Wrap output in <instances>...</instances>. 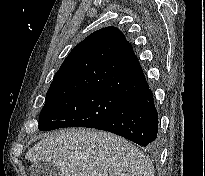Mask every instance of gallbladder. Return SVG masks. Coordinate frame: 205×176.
Wrapping results in <instances>:
<instances>
[{"instance_id":"1","label":"gallbladder","mask_w":205,"mask_h":176,"mask_svg":"<svg viewBox=\"0 0 205 176\" xmlns=\"http://www.w3.org/2000/svg\"><path fill=\"white\" fill-rule=\"evenodd\" d=\"M30 176H62L60 168L52 162L41 161L30 166Z\"/></svg>"}]
</instances>
